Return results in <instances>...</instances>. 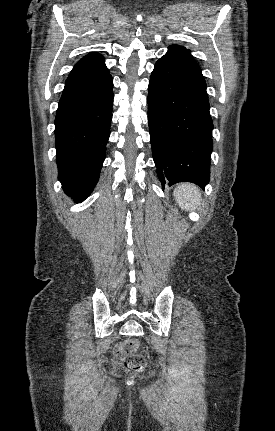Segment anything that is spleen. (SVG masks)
<instances>
[{
  "label": "spleen",
  "mask_w": 275,
  "mask_h": 431,
  "mask_svg": "<svg viewBox=\"0 0 275 431\" xmlns=\"http://www.w3.org/2000/svg\"><path fill=\"white\" fill-rule=\"evenodd\" d=\"M173 195L179 206L185 210H195L201 201L200 189L191 183L180 184Z\"/></svg>",
  "instance_id": "3e777b00"
}]
</instances>
